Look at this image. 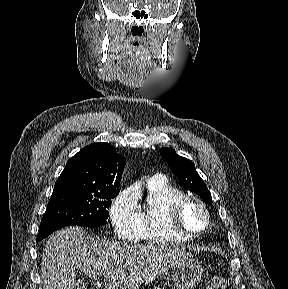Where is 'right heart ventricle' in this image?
<instances>
[{"label":"right heart ventricle","mask_w":288,"mask_h":289,"mask_svg":"<svg viewBox=\"0 0 288 289\" xmlns=\"http://www.w3.org/2000/svg\"><path fill=\"white\" fill-rule=\"evenodd\" d=\"M183 195L185 194L180 188L165 179L147 183L146 196L139 209L141 239L159 245L182 244L189 240L173 230L167 218L168 205Z\"/></svg>","instance_id":"e07e8e85"}]
</instances>
